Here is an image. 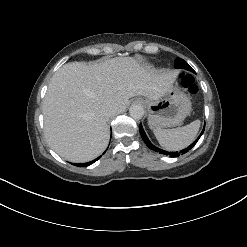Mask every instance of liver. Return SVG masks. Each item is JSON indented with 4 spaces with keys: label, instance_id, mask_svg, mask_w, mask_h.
I'll return each mask as SVG.
<instances>
[{
    "label": "liver",
    "instance_id": "6515ba94",
    "mask_svg": "<svg viewBox=\"0 0 247 247\" xmlns=\"http://www.w3.org/2000/svg\"><path fill=\"white\" fill-rule=\"evenodd\" d=\"M176 77L174 72L156 71L131 57L65 64L51 78L43 101L48 144L71 162L96 158L109 143L103 110L123 112L134 96L160 99Z\"/></svg>",
    "mask_w": 247,
    "mask_h": 247
}]
</instances>
